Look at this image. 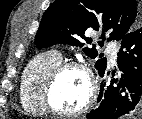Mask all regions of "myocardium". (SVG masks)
I'll use <instances>...</instances> for the list:
<instances>
[{
	"label": "myocardium",
	"mask_w": 142,
	"mask_h": 119,
	"mask_svg": "<svg viewBox=\"0 0 142 119\" xmlns=\"http://www.w3.org/2000/svg\"><path fill=\"white\" fill-rule=\"evenodd\" d=\"M68 70H79L81 71L88 80L89 92L88 96L78 109L73 111H63L56 107L53 102V91L54 88L63 73ZM97 96V82L91 69L77 61H65L61 62L56 68H54L45 80L42 90V101L47 111L51 114L62 116V117H74L86 112L94 104Z\"/></svg>",
	"instance_id": "1"
}]
</instances>
